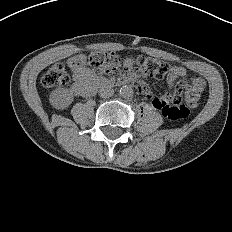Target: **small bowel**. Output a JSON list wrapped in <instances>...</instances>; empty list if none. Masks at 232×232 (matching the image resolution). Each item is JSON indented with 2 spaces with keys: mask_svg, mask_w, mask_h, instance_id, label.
Instances as JSON below:
<instances>
[{
  "mask_svg": "<svg viewBox=\"0 0 232 232\" xmlns=\"http://www.w3.org/2000/svg\"><path fill=\"white\" fill-rule=\"evenodd\" d=\"M68 66L74 77V81L70 86V90L76 95L86 96L87 87L94 79V73L84 67V65L76 63V57L68 61ZM120 66L123 70L127 71L128 75L134 80L139 91L145 94L152 102L153 106L162 112L163 105L157 103L158 98L153 96V94L148 90L143 82L137 81L136 77L139 75L140 70L136 66V62L134 60L125 58L121 61ZM186 77L187 71L184 67L174 66L170 70L168 81L173 83L178 79H186ZM191 85L199 87L203 90L205 87V81L201 77H193L191 78Z\"/></svg>",
  "mask_w": 232,
  "mask_h": 232,
  "instance_id": "obj_1",
  "label": "small bowel"
}]
</instances>
